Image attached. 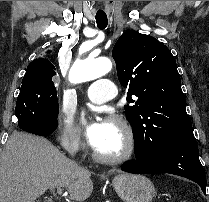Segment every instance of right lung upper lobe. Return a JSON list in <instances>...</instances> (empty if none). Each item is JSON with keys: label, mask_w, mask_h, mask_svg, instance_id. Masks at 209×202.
<instances>
[{"label": "right lung upper lobe", "mask_w": 209, "mask_h": 202, "mask_svg": "<svg viewBox=\"0 0 209 202\" xmlns=\"http://www.w3.org/2000/svg\"><path fill=\"white\" fill-rule=\"evenodd\" d=\"M34 74L55 75V66L46 58L35 59L28 65L24 77Z\"/></svg>", "instance_id": "right-lung-upper-lobe-1"}]
</instances>
